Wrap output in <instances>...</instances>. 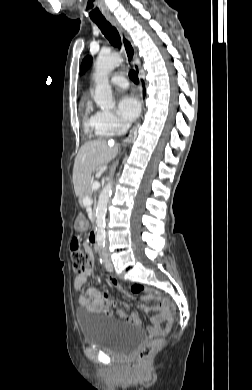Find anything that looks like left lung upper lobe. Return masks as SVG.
I'll return each instance as SVG.
<instances>
[{
  "mask_svg": "<svg viewBox=\"0 0 252 390\" xmlns=\"http://www.w3.org/2000/svg\"><path fill=\"white\" fill-rule=\"evenodd\" d=\"M89 65H90V57L87 56L84 58L83 62H82V65H81V74L89 68Z\"/></svg>",
  "mask_w": 252,
  "mask_h": 390,
  "instance_id": "5c2ea615",
  "label": "left lung upper lobe"
}]
</instances>
